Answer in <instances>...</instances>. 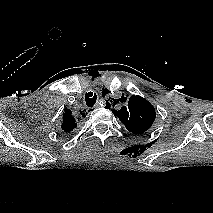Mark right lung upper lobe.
<instances>
[{
  "instance_id": "obj_1",
  "label": "right lung upper lobe",
  "mask_w": 213,
  "mask_h": 213,
  "mask_svg": "<svg viewBox=\"0 0 213 213\" xmlns=\"http://www.w3.org/2000/svg\"><path fill=\"white\" fill-rule=\"evenodd\" d=\"M77 127L76 121L72 115V112L69 109H65L63 114V122L61 125V129L66 133L69 134Z\"/></svg>"
}]
</instances>
